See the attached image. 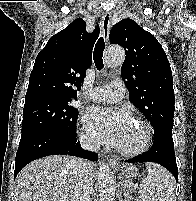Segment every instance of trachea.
I'll use <instances>...</instances> for the list:
<instances>
[{
  "instance_id": "3493384b",
  "label": "trachea",
  "mask_w": 196,
  "mask_h": 201,
  "mask_svg": "<svg viewBox=\"0 0 196 201\" xmlns=\"http://www.w3.org/2000/svg\"><path fill=\"white\" fill-rule=\"evenodd\" d=\"M105 45H104V39L100 37L95 45L94 53H93V59L94 63L97 67V69L103 68V51H104Z\"/></svg>"
}]
</instances>
